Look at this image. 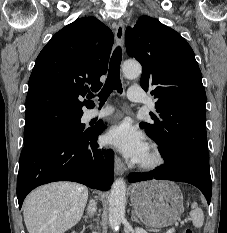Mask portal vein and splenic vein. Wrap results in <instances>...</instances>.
I'll return each mask as SVG.
<instances>
[{"instance_id":"obj_1","label":"portal vein and splenic vein","mask_w":227,"mask_h":233,"mask_svg":"<svg viewBox=\"0 0 227 233\" xmlns=\"http://www.w3.org/2000/svg\"><path fill=\"white\" fill-rule=\"evenodd\" d=\"M175 231L174 227H172L171 229H169V231L167 233H173Z\"/></svg>"}]
</instances>
